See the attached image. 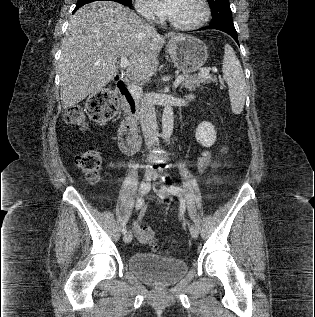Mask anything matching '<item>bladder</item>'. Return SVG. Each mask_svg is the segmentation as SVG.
<instances>
[{
    "mask_svg": "<svg viewBox=\"0 0 315 317\" xmlns=\"http://www.w3.org/2000/svg\"><path fill=\"white\" fill-rule=\"evenodd\" d=\"M128 267L142 281L158 287L176 283L188 270L187 263L182 259L146 252L132 254L128 258Z\"/></svg>",
    "mask_w": 315,
    "mask_h": 317,
    "instance_id": "obj_1",
    "label": "bladder"
}]
</instances>
